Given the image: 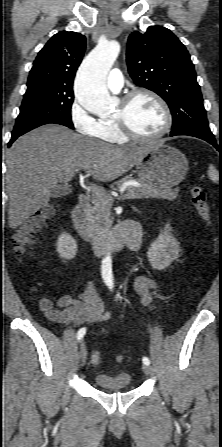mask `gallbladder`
Listing matches in <instances>:
<instances>
[{
    "label": "gallbladder",
    "mask_w": 222,
    "mask_h": 447,
    "mask_svg": "<svg viewBox=\"0 0 222 447\" xmlns=\"http://www.w3.org/2000/svg\"><path fill=\"white\" fill-rule=\"evenodd\" d=\"M70 189L68 187H64V186H58L56 187L51 194L52 198H60L63 196H66L70 193Z\"/></svg>",
    "instance_id": "gallbladder-1"
}]
</instances>
